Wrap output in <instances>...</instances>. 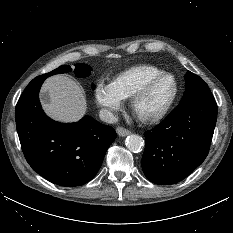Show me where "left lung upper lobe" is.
<instances>
[{"label":"left lung upper lobe","mask_w":233,"mask_h":233,"mask_svg":"<svg viewBox=\"0 0 233 233\" xmlns=\"http://www.w3.org/2000/svg\"><path fill=\"white\" fill-rule=\"evenodd\" d=\"M185 81L186 89L180 103L201 95L211 94L207 84L196 74L187 71L185 75Z\"/></svg>","instance_id":"left-lung-upper-lobe-1"}]
</instances>
